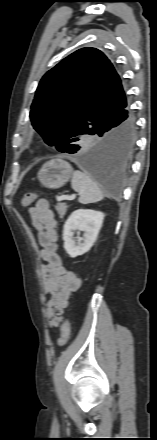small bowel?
Wrapping results in <instances>:
<instances>
[{
	"mask_svg": "<svg viewBox=\"0 0 157 440\" xmlns=\"http://www.w3.org/2000/svg\"><path fill=\"white\" fill-rule=\"evenodd\" d=\"M28 216L33 228L37 231L40 244V257L45 264L42 266L44 290L48 295L47 316L52 327H57L68 306L71 293L81 284L80 278L67 270L57 254V221L49 203L40 199L28 209Z\"/></svg>",
	"mask_w": 157,
	"mask_h": 440,
	"instance_id": "c3829d8e",
	"label": "small bowel"
}]
</instances>
